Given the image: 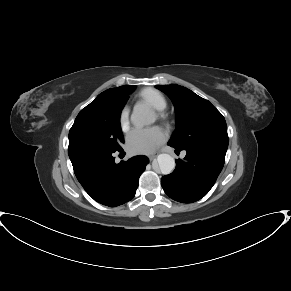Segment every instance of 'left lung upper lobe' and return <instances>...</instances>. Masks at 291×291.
Returning a JSON list of instances; mask_svg holds the SVG:
<instances>
[{"label":"left lung upper lobe","instance_id":"obj_1","mask_svg":"<svg viewBox=\"0 0 291 291\" xmlns=\"http://www.w3.org/2000/svg\"><path fill=\"white\" fill-rule=\"evenodd\" d=\"M156 87L170 97L176 110V130L168 145L177 149L195 144L228 145L225 119L208 100L176 84Z\"/></svg>","mask_w":291,"mask_h":291}]
</instances>
